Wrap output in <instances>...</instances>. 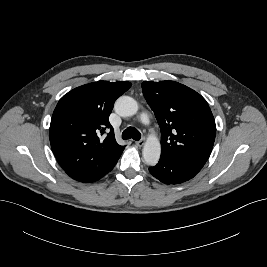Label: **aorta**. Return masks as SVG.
I'll use <instances>...</instances> for the list:
<instances>
[{
	"instance_id": "aorta-1",
	"label": "aorta",
	"mask_w": 267,
	"mask_h": 267,
	"mask_svg": "<svg viewBox=\"0 0 267 267\" xmlns=\"http://www.w3.org/2000/svg\"><path fill=\"white\" fill-rule=\"evenodd\" d=\"M138 103L132 97L121 96L115 102V112L122 117L133 116L138 112ZM142 155L146 164L154 166L161 155L160 141L156 137H149L143 147Z\"/></svg>"
}]
</instances>
